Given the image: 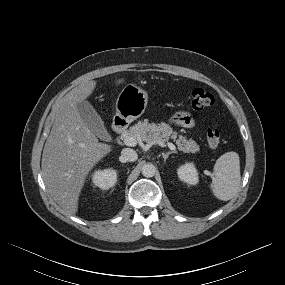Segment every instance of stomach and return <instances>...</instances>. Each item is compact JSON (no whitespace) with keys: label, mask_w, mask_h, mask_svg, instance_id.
Segmentation results:
<instances>
[{"label":"stomach","mask_w":285,"mask_h":285,"mask_svg":"<svg viewBox=\"0 0 285 285\" xmlns=\"http://www.w3.org/2000/svg\"><path fill=\"white\" fill-rule=\"evenodd\" d=\"M148 94L135 84L126 85L116 100L117 116L130 123L145 111Z\"/></svg>","instance_id":"obj_1"}]
</instances>
